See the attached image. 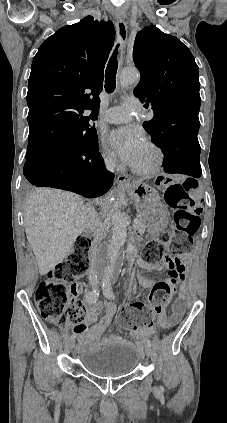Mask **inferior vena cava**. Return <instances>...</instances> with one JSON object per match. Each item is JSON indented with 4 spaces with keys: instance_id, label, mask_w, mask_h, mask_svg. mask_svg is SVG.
<instances>
[{
    "instance_id": "inferior-vena-cava-1",
    "label": "inferior vena cava",
    "mask_w": 227,
    "mask_h": 423,
    "mask_svg": "<svg viewBox=\"0 0 227 423\" xmlns=\"http://www.w3.org/2000/svg\"><path fill=\"white\" fill-rule=\"evenodd\" d=\"M105 164L107 170L113 172L115 166H117V158L115 154H108L107 158H105ZM86 221L88 227L91 229L92 233V245H91V263L88 271L89 281L90 283H95L97 281V273L94 267L93 257L97 255V247L99 243H101L106 231H105V223H97V219H100L99 215H97V211L93 210V208H89L86 206Z\"/></svg>"
}]
</instances>
